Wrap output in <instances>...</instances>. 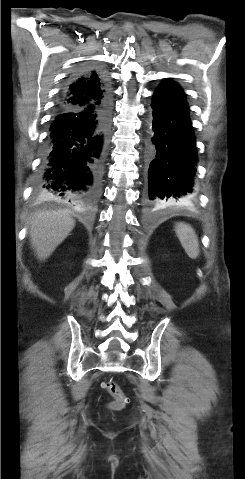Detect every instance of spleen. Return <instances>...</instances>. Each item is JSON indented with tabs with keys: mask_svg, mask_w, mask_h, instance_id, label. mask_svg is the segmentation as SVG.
Wrapping results in <instances>:
<instances>
[{
	"mask_svg": "<svg viewBox=\"0 0 245 479\" xmlns=\"http://www.w3.org/2000/svg\"><path fill=\"white\" fill-rule=\"evenodd\" d=\"M175 231L186 254L191 259H196L200 251L198 238L193 228L189 224L179 222L175 226Z\"/></svg>",
	"mask_w": 245,
	"mask_h": 479,
	"instance_id": "spleen-1",
	"label": "spleen"
}]
</instances>
